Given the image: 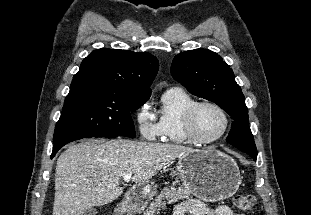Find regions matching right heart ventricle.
<instances>
[{"label":"right heart ventricle","instance_id":"1","mask_svg":"<svg viewBox=\"0 0 311 215\" xmlns=\"http://www.w3.org/2000/svg\"><path fill=\"white\" fill-rule=\"evenodd\" d=\"M196 101L183 89L170 88L162 97L159 123L162 140L176 144L192 143L185 134L183 117L185 111Z\"/></svg>","mask_w":311,"mask_h":215}]
</instances>
